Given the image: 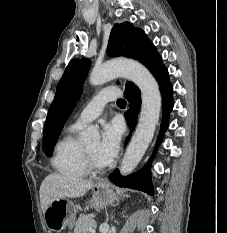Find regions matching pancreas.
<instances>
[{
    "mask_svg": "<svg viewBox=\"0 0 227 233\" xmlns=\"http://www.w3.org/2000/svg\"><path fill=\"white\" fill-rule=\"evenodd\" d=\"M96 222L88 215H80L75 223L74 233H89V228H95Z\"/></svg>",
    "mask_w": 227,
    "mask_h": 233,
    "instance_id": "1",
    "label": "pancreas"
}]
</instances>
